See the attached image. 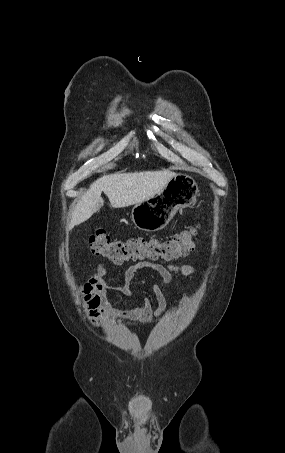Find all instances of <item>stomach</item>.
Instances as JSON below:
<instances>
[{
  "label": "stomach",
  "instance_id": "1",
  "mask_svg": "<svg viewBox=\"0 0 285 453\" xmlns=\"http://www.w3.org/2000/svg\"><path fill=\"white\" fill-rule=\"evenodd\" d=\"M198 191L192 177L187 174H176L159 193L135 204L132 209V221L143 231L162 230L179 209L194 203Z\"/></svg>",
  "mask_w": 285,
  "mask_h": 453
}]
</instances>
